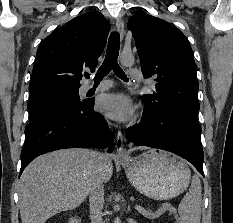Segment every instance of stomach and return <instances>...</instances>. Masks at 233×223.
Listing matches in <instances>:
<instances>
[{
    "mask_svg": "<svg viewBox=\"0 0 233 223\" xmlns=\"http://www.w3.org/2000/svg\"><path fill=\"white\" fill-rule=\"evenodd\" d=\"M126 175L137 191L151 199H171L187 189L191 171L184 159L169 151L149 149L122 159Z\"/></svg>",
    "mask_w": 233,
    "mask_h": 223,
    "instance_id": "1",
    "label": "stomach"
}]
</instances>
